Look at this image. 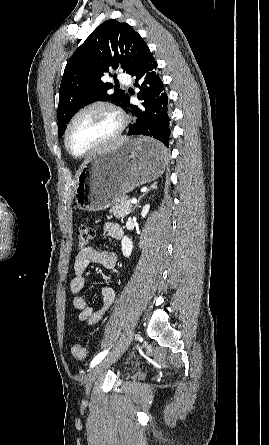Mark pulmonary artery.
<instances>
[{"mask_svg":"<svg viewBox=\"0 0 269 445\" xmlns=\"http://www.w3.org/2000/svg\"><path fill=\"white\" fill-rule=\"evenodd\" d=\"M118 79L122 82V83H129L130 82V78L129 76H127L126 74H120L118 76Z\"/></svg>","mask_w":269,"mask_h":445,"instance_id":"1","label":"pulmonary artery"}]
</instances>
